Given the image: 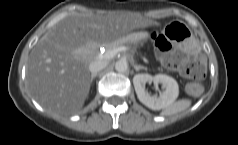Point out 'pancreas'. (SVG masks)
<instances>
[{"label":"pancreas","instance_id":"cf45deb5","mask_svg":"<svg viewBox=\"0 0 238 145\" xmlns=\"http://www.w3.org/2000/svg\"><path fill=\"white\" fill-rule=\"evenodd\" d=\"M122 44H126L128 47H136L137 46V42H132L130 40L126 41V42H122V40H118L115 42L110 43L109 45H107V50H113V49H118Z\"/></svg>","mask_w":238,"mask_h":145}]
</instances>
